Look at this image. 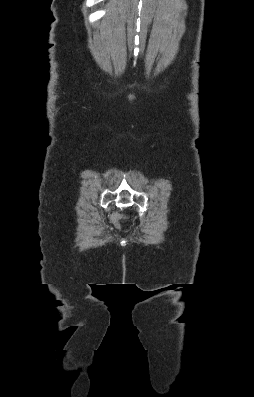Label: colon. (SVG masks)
<instances>
[{"instance_id":"colon-1","label":"colon","mask_w":254,"mask_h":397,"mask_svg":"<svg viewBox=\"0 0 254 397\" xmlns=\"http://www.w3.org/2000/svg\"><path fill=\"white\" fill-rule=\"evenodd\" d=\"M120 219H121V216H120L119 214H116V215H114V217H113V222H114L116 225H118Z\"/></svg>"}]
</instances>
